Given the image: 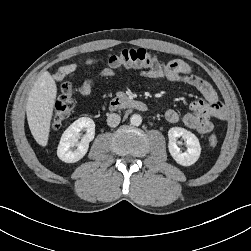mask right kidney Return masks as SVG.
<instances>
[{"label": "right kidney", "instance_id": "right-kidney-1", "mask_svg": "<svg viewBox=\"0 0 251 251\" xmlns=\"http://www.w3.org/2000/svg\"><path fill=\"white\" fill-rule=\"evenodd\" d=\"M86 130V134L80 139V131ZM95 136V123L91 118L81 117L73 122L62 134L57 156L66 163H75L82 159L88 151L89 142ZM76 147L74 150L71 149Z\"/></svg>", "mask_w": 251, "mask_h": 251}]
</instances>
